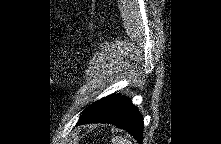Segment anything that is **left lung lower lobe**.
I'll list each match as a JSON object with an SVG mask.
<instances>
[{
  "instance_id": "1",
  "label": "left lung lower lobe",
  "mask_w": 221,
  "mask_h": 144,
  "mask_svg": "<svg viewBox=\"0 0 221 144\" xmlns=\"http://www.w3.org/2000/svg\"><path fill=\"white\" fill-rule=\"evenodd\" d=\"M110 123L126 130L138 143L143 139V117L128 97L111 94L82 115L77 124Z\"/></svg>"
}]
</instances>
